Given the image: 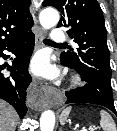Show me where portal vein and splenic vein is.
<instances>
[{
  "instance_id": "1",
  "label": "portal vein and splenic vein",
  "mask_w": 117,
  "mask_h": 131,
  "mask_svg": "<svg viewBox=\"0 0 117 131\" xmlns=\"http://www.w3.org/2000/svg\"><path fill=\"white\" fill-rule=\"evenodd\" d=\"M89 130L94 131V128L90 127ZM82 131H86V130L83 129Z\"/></svg>"
}]
</instances>
